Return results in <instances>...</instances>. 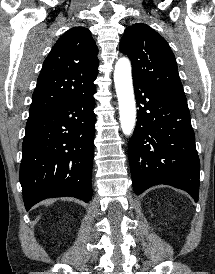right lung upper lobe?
I'll use <instances>...</instances> for the list:
<instances>
[{
  "mask_svg": "<svg viewBox=\"0 0 215 274\" xmlns=\"http://www.w3.org/2000/svg\"><path fill=\"white\" fill-rule=\"evenodd\" d=\"M98 49L85 27H74L55 43L43 63L30 113L44 114L94 87Z\"/></svg>",
  "mask_w": 215,
  "mask_h": 274,
  "instance_id": "cb5924a9",
  "label": "right lung upper lobe"
}]
</instances>
